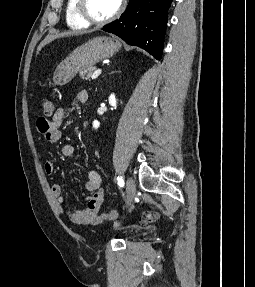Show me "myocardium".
Here are the masks:
<instances>
[{
    "mask_svg": "<svg viewBox=\"0 0 255 287\" xmlns=\"http://www.w3.org/2000/svg\"><path fill=\"white\" fill-rule=\"evenodd\" d=\"M91 23H93V21H91ZM89 33H94V32H89ZM88 39H96V38H88ZM121 39H125V38H121ZM130 48H143V47H130Z\"/></svg>",
    "mask_w": 255,
    "mask_h": 287,
    "instance_id": "f54148a6",
    "label": "myocardium"
}]
</instances>
